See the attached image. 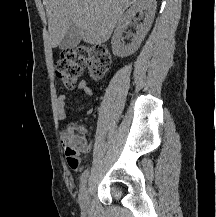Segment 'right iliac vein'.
Masks as SVG:
<instances>
[{
	"mask_svg": "<svg viewBox=\"0 0 216 217\" xmlns=\"http://www.w3.org/2000/svg\"><path fill=\"white\" fill-rule=\"evenodd\" d=\"M79 205L81 207V210L86 212L88 210L89 206V195H88V188L87 186H84L79 195Z\"/></svg>",
	"mask_w": 216,
	"mask_h": 217,
	"instance_id": "63e3f726",
	"label": "right iliac vein"
}]
</instances>
